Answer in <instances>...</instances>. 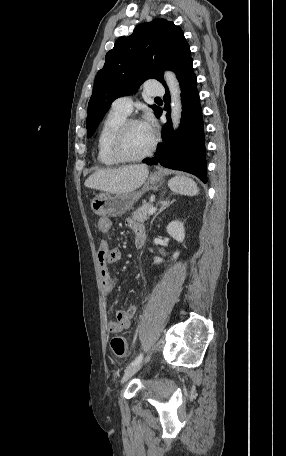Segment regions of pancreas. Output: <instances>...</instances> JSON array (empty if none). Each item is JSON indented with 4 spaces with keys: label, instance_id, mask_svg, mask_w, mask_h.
Listing matches in <instances>:
<instances>
[{
    "label": "pancreas",
    "instance_id": "obj_1",
    "mask_svg": "<svg viewBox=\"0 0 286 456\" xmlns=\"http://www.w3.org/2000/svg\"><path fill=\"white\" fill-rule=\"evenodd\" d=\"M153 207L150 203H144L136 211L132 213L133 220L137 222H144L149 218V210Z\"/></svg>",
    "mask_w": 286,
    "mask_h": 456
}]
</instances>
